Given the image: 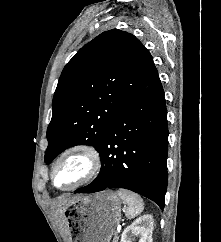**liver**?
<instances>
[{"mask_svg":"<svg viewBox=\"0 0 221 242\" xmlns=\"http://www.w3.org/2000/svg\"><path fill=\"white\" fill-rule=\"evenodd\" d=\"M74 199V198H73ZM73 199H63L60 200L59 203L57 204L58 207V213L60 214V216H62L63 210L66 208V206H68V204L73 200Z\"/></svg>","mask_w":221,"mask_h":242,"instance_id":"liver-1","label":"liver"}]
</instances>
